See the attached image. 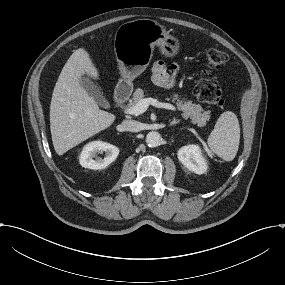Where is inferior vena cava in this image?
<instances>
[{
    "mask_svg": "<svg viewBox=\"0 0 285 285\" xmlns=\"http://www.w3.org/2000/svg\"><path fill=\"white\" fill-rule=\"evenodd\" d=\"M122 127L125 129V131L139 132L141 129V124L135 120H124L122 122Z\"/></svg>",
    "mask_w": 285,
    "mask_h": 285,
    "instance_id": "1",
    "label": "inferior vena cava"
}]
</instances>
